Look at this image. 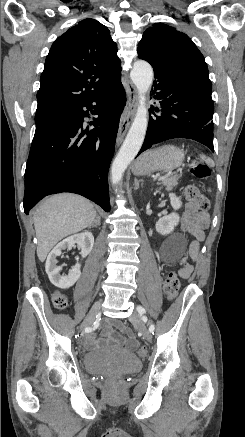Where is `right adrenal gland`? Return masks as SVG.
Returning <instances> with one entry per match:
<instances>
[{
  "label": "right adrenal gland",
  "mask_w": 245,
  "mask_h": 437,
  "mask_svg": "<svg viewBox=\"0 0 245 437\" xmlns=\"http://www.w3.org/2000/svg\"><path fill=\"white\" fill-rule=\"evenodd\" d=\"M96 226H100V216L99 215L96 216L94 223L92 225H90L89 228L96 227Z\"/></svg>",
  "instance_id": "1"
}]
</instances>
